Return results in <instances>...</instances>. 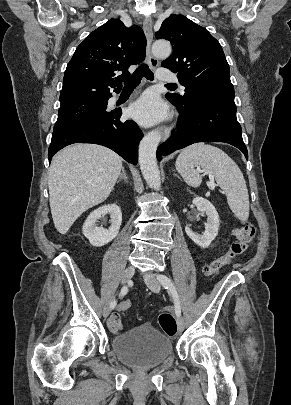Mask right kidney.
Segmentation results:
<instances>
[{
    "label": "right kidney",
    "mask_w": 291,
    "mask_h": 405,
    "mask_svg": "<svg viewBox=\"0 0 291 405\" xmlns=\"http://www.w3.org/2000/svg\"><path fill=\"white\" fill-rule=\"evenodd\" d=\"M110 214L111 226L109 229L97 227L96 221L103 215ZM122 223V213L116 204L99 207L90 213L86 219L82 232L89 242L95 247H101L111 242L119 233Z\"/></svg>",
    "instance_id": "1"
}]
</instances>
